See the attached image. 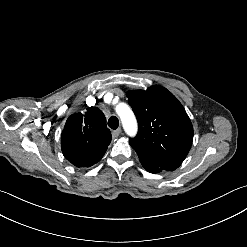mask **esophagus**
Returning a JSON list of instances; mask_svg holds the SVG:
<instances>
[{
  "label": "esophagus",
  "mask_w": 247,
  "mask_h": 247,
  "mask_svg": "<svg viewBox=\"0 0 247 247\" xmlns=\"http://www.w3.org/2000/svg\"><path fill=\"white\" fill-rule=\"evenodd\" d=\"M121 134V128H118L112 132V137L115 139Z\"/></svg>",
  "instance_id": "obj_1"
}]
</instances>
